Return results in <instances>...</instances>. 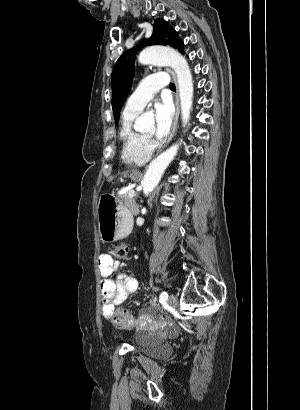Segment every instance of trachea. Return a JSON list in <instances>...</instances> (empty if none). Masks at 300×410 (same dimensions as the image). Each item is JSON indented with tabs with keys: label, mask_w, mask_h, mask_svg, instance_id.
<instances>
[{
	"label": "trachea",
	"mask_w": 300,
	"mask_h": 410,
	"mask_svg": "<svg viewBox=\"0 0 300 410\" xmlns=\"http://www.w3.org/2000/svg\"><path fill=\"white\" fill-rule=\"evenodd\" d=\"M169 87H170V89L173 90V91L176 90V87H175V84H174V83H170Z\"/></svg>",
	"instance_id": "trachea-1"
}]
</instances>
